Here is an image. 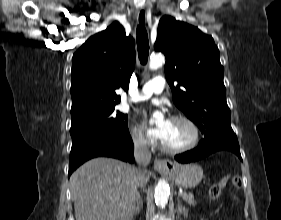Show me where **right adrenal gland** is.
I'll use <instances>...</instances> for the list:
<instances>
[{"label": "right adrenal gland", "mask_w": 281, "mask_h": 220, "mask_svg": "<svg viewBox=\"0 0 281 220\" xmlns=\"http://www.w3.org/2000/svg\"><path fill=\"white\" fill-rule=\"evenodd\" d=\"M141 208H143V200H142V197H141L140 193H138L137 201H136V207H135V214L136 215L139 213Z\"/></svg>", "instance_id": "obj_1"}]
</instances>
